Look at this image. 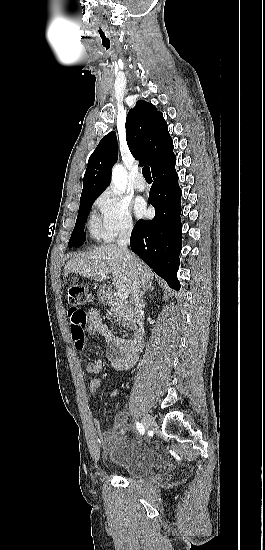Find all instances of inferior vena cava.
<instances>
[{
  "label": "inferior vena cava",
  "instance_id": "obj_1",
  "mask_svg": "<svg viewBox=\"0 0 265 550\" xmlns=\"http://www.w3.org/2000/svg\"><path fill=\"white\" fill-rule=\"evenodd\" d=\"M133 229L132 224L126 225L120 232L117 245L118 247L123 251L124 256L126 260L129 262L130 265H132V256L131 253L128 250V244L131 236V232ZM133 273V282H132V302L134 306V310L137 317V322L140 326L143 325V317H142V304L140 302V283L136 277V274L134 271Z\"/></svg>",
  "mask_w": 265,
  "mask_h": 550
}]
</instances>
